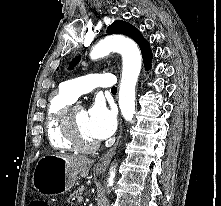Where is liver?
<instances>
[{
  "label": "liver",
  "instance_id": "liver-1",
  "mask_svg": "<svg viewBox=\"0 0 221 206\" xmlns=\"http://www.w3.org/2000/svg\"><path fill=\"white\" fill-rule=\"evenodd\" d=\"M65 159L68 166L78 175L81 177H87L90 168L92 167L94 161L88 159L86 157H79V156H70V155H58Z\"/></svg>",
  "mask_w": 221,
  "mask_h": 206
}]
</instances>
